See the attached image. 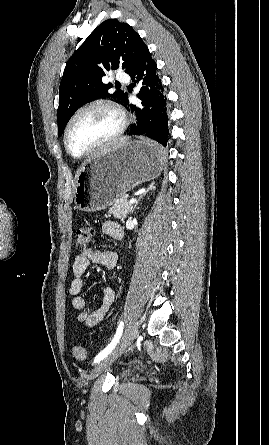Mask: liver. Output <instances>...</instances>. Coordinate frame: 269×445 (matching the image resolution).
<instances>
[{
	"mask_svg": "<svg viewBox=\"0 0 269 445\" xmlns=\"http://www.w3.org/2000/svg\"><path fill=\"white\" fill-rule=\"evenodd\" d=\"M128 141H129V138H127V137H122V138H120L119 140H117V141L114 143L113 146H111V147H109V148H107V149H114V148H116V147H118V146H122V145H124L125 143H127ZM107 149H105V150H107Z\"/></svg>",
	"mask_w": 269,
	"mask_h": 445,
	"instance_id": "obj_1",
	"label": "liver"
}]
</instances>
